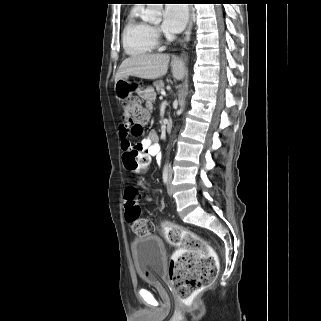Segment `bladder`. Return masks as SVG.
<instances>
[{
  "label": "bladder",
  "instance_id": "obj_1",
  "mask_svg": "<svg viewBox=\"0 0 321 321\" xmlns=\"http://www.w3.org/2000/svg\"><path fill=\"white\" fill-rule=\"evenodd\" d=\"M131 252L139 278L147 284L162 281L166 260V250L162 239L155 235H145L131 242Z\"/></svg>",
  "mask_w": 321,
  "mask_h": 321
}]
</instances>
